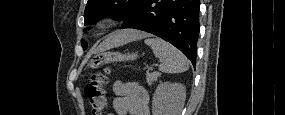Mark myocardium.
<instances>
[{
	"label": "myocardium",
	"instance_id": "myocardium-1",
	"mask_svg": "<svg viewBox=\"0 0 285 115\" xmlns=\"http://www.w3.org/2000/svg\"><path fill=\"white\" fill-rule=\"evenodd\" d=\"M112 24H113V18L110 15L105 14L99 19L97 25L101 29H106L109 28Z\"/></svg>",
	"mask_w": 285,
	"mask_h": 115
}]
</instances>
